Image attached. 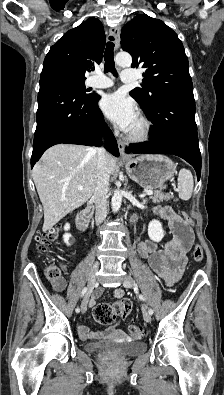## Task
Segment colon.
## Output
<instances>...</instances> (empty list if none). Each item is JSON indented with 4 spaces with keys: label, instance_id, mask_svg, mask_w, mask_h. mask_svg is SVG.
Here are the masks:
<instances>
[{
    "label": "colon",
    "instance_id": "5ec220e1",
    "mask_svg": "<svg viewBox=\"0 0 224 395\" xmlns=\"http://www.w3.org/2000/svg\"><path fill=\"white\" fill-rule=\"evenodd\" d=\"M184 225L180 227V230L187 233L191 219L187 213L182 214ZM60 232L59 228H52L48 232L43 233L37 238L38 250L41 253H45L50 246V244L58 237ZM192 259L195 262H200L203 259V249L199 244H196L191 253ZM47 278L56 281L61 277V270L57 265H50L46 270ZM131 309V303L127 298H123L118 302L111 303H100L93 311V317L95 321L102 325L112 324L117 317L125 319L129 314ZM129 333L133 338H140L143 336L144 332L141 327L132 323L129 325Z\"/></svg>",
    "mask_w": 224,
    "mask_h": 395
}]
</instances>
